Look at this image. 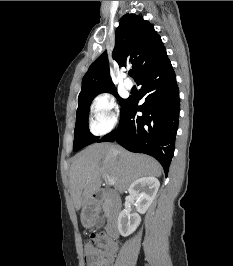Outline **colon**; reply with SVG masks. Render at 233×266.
Segmentation results:
<instances>
[{
  "mask_svg": "<svg viewBox=\"0 0 233 266\" xmlns=\"http://www.w3.org/2000/svg\"><path fill=\"white\" fill-rule=\"evenodd\" d=\"M107 236L103 233H93L88 239V243L91 245H97L102 242Z\"/></svg>",
  "mask_w": 233,
  "mask_h": 266,
  "instance_id": "colon-1",
  "label": "colon"
}]
</instances>
